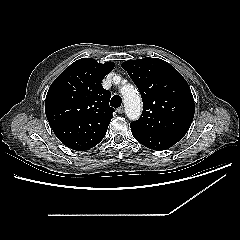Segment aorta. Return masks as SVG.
Listing matches in <instances>:
<instances>
[{"label": "aorta", "instance_id": "1", "mask_svg": "<svg viewBox=\"0 0 240 240\" xmlns=\"http://www.w3.org/2000/svg\"><path fill=\"white\" fill-rule=\"evenodd\" d=\"M124 98L125 112L130 120H136L141 115V98L133 85L127 84L121 88Z\"/></svg>", "mask_w": 240, "mask_h": 240}]
</instances>
